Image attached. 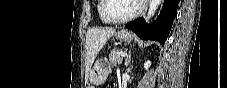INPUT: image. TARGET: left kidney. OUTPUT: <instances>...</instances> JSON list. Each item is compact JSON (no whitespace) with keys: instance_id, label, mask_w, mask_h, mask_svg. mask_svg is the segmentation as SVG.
Returning <instances> with one entry per match:
<instances>
[{"instance_id":"obj_1","label":"left kidney","mask_w":227,"mask_h":88,"mask_svg":"<svg viewBox=\"0 0 227 88\" xmlns=\"http://www.w3.org/2000/svg\"><path fill=\"white\" fill-rule=\"evenodd\" d=\"M150 65H151V61L148 60L144 63V68L147 70L150 67Z\"/></svg>"}]
</instances>
